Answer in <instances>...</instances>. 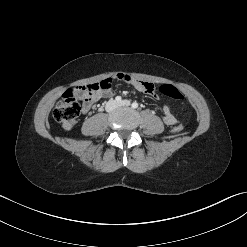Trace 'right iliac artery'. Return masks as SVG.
Here are the masks:
<instances>
[{"label": "right iliac artery", "instance_id": "right-iliac-artery-1", "mask_svg": "<svg viewBox=\"0 0 247 247\" xmlns=\"http://www.w3.org/2000/svg\"><path fill=\"white\" fill-rule=\"evenodd\" d=\"M115 101H117V102L119 103V102L122 101V98H121L120 96H117V97L115 98Z\"/></svg>", "mask_w": 247, "mask_h": 247}]
</instances>
